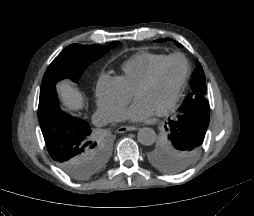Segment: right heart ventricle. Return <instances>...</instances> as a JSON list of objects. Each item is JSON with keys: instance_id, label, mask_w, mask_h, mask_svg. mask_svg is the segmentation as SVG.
<instances>
[{"instance_id": "obj_1", "label": "right heart ventricle", "mask_w": 254, "mask_h": 216, "mask_svg": "<svg viewBox=\"0 0 254 216\" xmlns=\"http://www.w3.org/2000/svg\"><path fill=\"white\" fill-rule=\"evenodd\" d=\"M165 56L167 55L151 51L138 52L122 64L121 74L117 78L127 91L134 93L153 67Z\"/></svg>"}]
</instances>
